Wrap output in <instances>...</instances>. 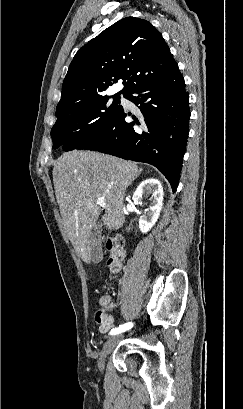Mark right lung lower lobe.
I'll list each match as a JSON object with an SVG mask.
<instances>
[{"mask_svg": "<svg viewBox=\"0 0 243 409\" xmlns=\"http://www.w3.org/2000/svg\"><path fill=\"white\" fill-rule=\"evenodd\" d=\"M125 98L143 115L127 123L123 108L102 131L75 149L97 150L157 167L176 190L189 134V95L179 69L131 89ZM130 115V113H128Z\"/></svg>", "mask_w": 243, "mask_h": 409, "instance_id": "1", "label": "right lung lower lobe"}]
</instances>
